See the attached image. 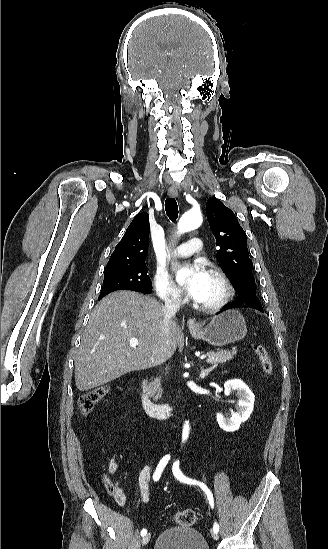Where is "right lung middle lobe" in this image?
<instances>
[{
  "label": "right lung middle lobe",
  "mask_w": 328,
  "mask_h": 549,
  "mask_svg": "<svg viewBox=\"0 0 328 549\" xmlns=\"http://www.w3.org/2000/svg\"><path fill=\"white\" fill-rule=\"evenodd\" d=\"M147 273L148 270L145 261L112 270H105L99 298L116 290L149 293L152 290V282Z\"/></svg>",
  "instance_id": "dd1d6c3e"
}]
</instances>
